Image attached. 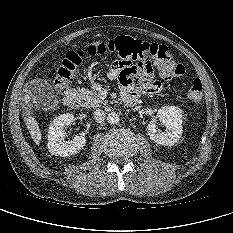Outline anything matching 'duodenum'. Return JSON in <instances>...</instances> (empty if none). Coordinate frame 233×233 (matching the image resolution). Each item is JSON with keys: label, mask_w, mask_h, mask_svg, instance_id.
Wrapping results in <instances>:
<instances>
[{"label": "duodenum", "mask_w": 233, "mask_h": 233, "mask_svg": "<svg viewBox=\"0 0 233 233\" xmlns=\"http://www.w3.org/2000/svg\"><path fill=\"white\" fill-rule=\"evenodd\" d=\"M137 96L133 94H127L124 96V102L132 106L136 103ZM64 104L68 107L75 108L79 105L78 91L75 88H70L67 90L64 96Z\"/></svg>", "instance_id": "410a0bca"}]
</instances>
